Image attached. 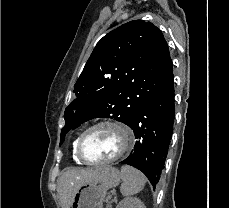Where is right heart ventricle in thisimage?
<instances>
[{
  "instance_id": "right-heart-ventricle-1",
  "label": "right heart ventricle",
  "mask_w": 229,
  "mask_h": 208,
  "mask_svg": "<svg viewBox=\"0 0 229 208\" xmlns=\"http://www.w3.org/2000/svg\"><path fill=\"white\" fill-rule=\"evenodd\" d=\"M79 135H77L73 141H72V147H71V152H72V158L76 164H85V162L81 158H77V141H78Z\"/></svg>"
}]
</instances>
